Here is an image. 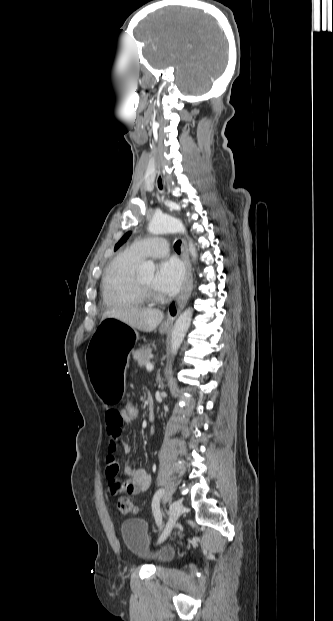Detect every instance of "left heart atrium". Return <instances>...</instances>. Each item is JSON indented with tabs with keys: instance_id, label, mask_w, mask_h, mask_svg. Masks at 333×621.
Returning <instances> with one entry per match:
<instances>
[{
	"instance_id": "1",
	"label": "left heart atrium",
	"mask_w": 333,
	"mask_h": 621,
	"mask_svg": "<svg viewBox=\"0 0 333 621\" xmlns=\"http://www.w3.org/2000/svg\"><path fill=\"white\" fill-rule=\"evenodd\" d=\"M184 282V268L176 259L162 261L154 275V286L164 294H174Z\"/></svg>"
}]
</instances>
